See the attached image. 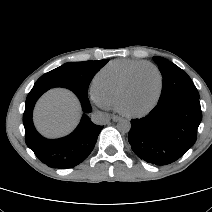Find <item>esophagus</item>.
<instances>
[{"instance_id":"esophagus-1","label":"esophagus","mask_w":212,"mask_h":212,"mask_svg":"<svg viewBox=\"0 0 212 212\" xmlns=\"http://www.w3.org/2000/svg\"><path fill=\"white\" fill-rule=\"evenodd\" d=\"M112 120H113L114 122H117V121L121 120V117L118 116V115H113V116H112Z\"/></svg>"}]
</instances>
